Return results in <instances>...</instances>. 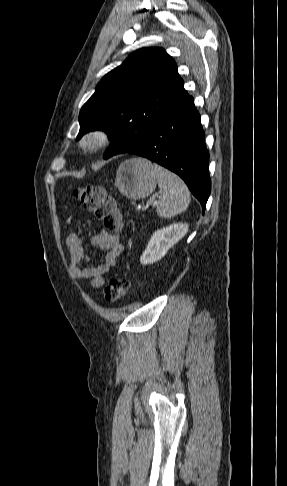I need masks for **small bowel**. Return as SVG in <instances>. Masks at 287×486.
Returning a JSON list of instances; mask_svg holds the SVG:
<instances>
[{"mask_svg":"<svg viewBox=\"0 0 287 486\" xmlns=\"http://www.w3.org/2000/svg\"><path fill=\"white\" fill-rule=\"evenodd\" d=\"M79 228L91 225L90 220L78 218ZM90 244L105 251L104 261L94 267H85L89 261L85 251V241L77 233H70L66 238V246L69 252V269L71 275L81 282H87L93 288H100L104 284V275L117 264L119 256L124 251L120 237L103 230L90 238Z\"/></svg>","mask_w":287,"mask_h":486,"instance_id":"obj_1","label":"small bowel"}]
</instances>
